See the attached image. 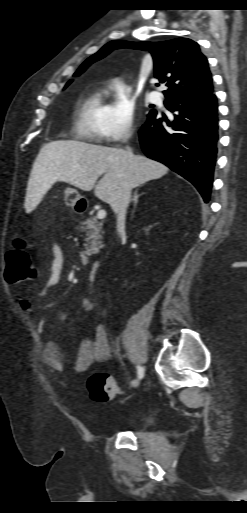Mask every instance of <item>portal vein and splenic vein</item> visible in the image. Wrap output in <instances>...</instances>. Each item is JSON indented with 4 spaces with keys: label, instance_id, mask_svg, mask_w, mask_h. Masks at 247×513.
Returning a JSON list of instances; mask_svg holds the SVG:
<instances>
[{
    "label": "portal vein and splenic vein",
    "instance_id": "1",
    "mask_svg": "<svg viewBox=\"0 0 247 513\" xmlns=\"http://www.w3.org/2000/svg\"><path fill=\"white\" fill-rule=\"evenodd\" d=\"M106 217V211L104 209L98 210L96 214L97 219H104Z\"/></svg>",
    "mask_w": 247,
    "mask_h": 513
}]
</instances>
